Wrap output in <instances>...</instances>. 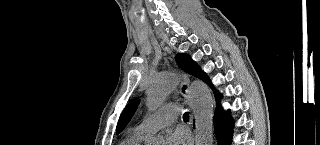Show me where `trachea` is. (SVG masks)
<instances>
[{"mask_svg": "<svg viewBox=\"0 0 320 145\" xmlns=\"http://www.w3.org/2000/svg\"><path fill=\"white\" fill-rule=\"evenodd\" d=\"M183 119H184V120H188V119H189V113H188V112H185V113L183 114Z\"/></svg>", "mask_w": 320, "mask_h": 145, "instance_id": "trachea-1", "label": "trachea"}]
</instances>
